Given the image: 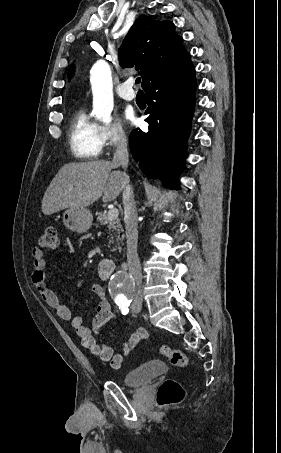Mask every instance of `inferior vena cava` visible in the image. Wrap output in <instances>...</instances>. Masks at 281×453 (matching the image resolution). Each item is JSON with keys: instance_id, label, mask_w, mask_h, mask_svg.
I'll use <instances>...</instances> for the list:
<instances>
[{"instance_id": "1", "label": "inferior vena cava", "mask_w": 281, "mask_h": 453, "mask_svg": "<svg viewBox=\"0 0 281 453\" xmlns=\"http://www.w3.org/2000/svg\"><path fill=\"white\" fill-rule=\"evenodd\" d=\"M117 148L114 152L113 162L122 164L123 168L128 166L129 156L127 150V138L124 132L119 130L118 138H116ZM123 180V204H124V220L127 239V261L129 265V275L133 279L137 293L134 297V303L142 301V275L140 261L137 253L138 231H137V210L134 200L133 188L129 184V176L126 172H122Z\"/></svg>"}]
</instances>
